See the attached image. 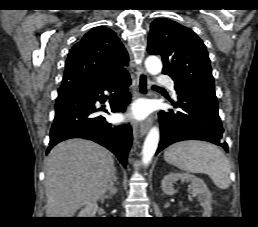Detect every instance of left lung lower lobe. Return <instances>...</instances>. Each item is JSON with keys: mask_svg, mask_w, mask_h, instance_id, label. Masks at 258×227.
Here are the masks:
<instances>
[{"mask_svg": "<svg viewBox=\"0 0 258 227\" xmlns=\"http://www.w3.org/2000/svg\"><path fill=\"white\" fill-rule=\"evenodd\" d=\"M177 103L171 101L180 111H160L161 140L156 153L167 146L183 140H204L222 146L223 127L218 115L215 91L198 87H175Z\"/></svg>", "mask_w": 258, "mask_h": 227, "instance_id": "1", "label": "left lung lower lobe"}]
</instances>
